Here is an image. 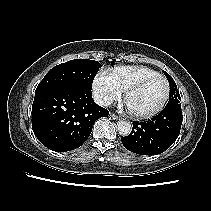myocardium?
<instances>
[{
    "mask_svg": "<svg viewBox=\"0 0 211 211\" xmlns=\"http://www.w3.org/2000/svg\"><path fill=\"white\" fill-rule=\"evenodd\" d=\"M155 79L163 80L165 82V85H166V93H165V96H164L162 102L160 103V105L157 108H155L154 110L146 112V113H138V112L131 110L127 105V98L129 97V95L138 91L143 86H145L147 83H149L150 81H153ZM170 92H171L170 84H169L167 78H165L164 76L159 74V75L145 77V78L141 79L140 81L136 82L135 84H133L132 86H130L129 88H127L124 91L123 99H124V102L127 105L128 109H129V112L131 113V115L133 117L137 118V119L144 120V119H149V118L156 116L157 114H159L164 109V107L166 106V104L169 100Z\"/></svg>",
    "mask_w": 211,
    "mask_h": 211,
    "instance_id": "obj_1",
    "label": "myocardium"
}]
</instances>
